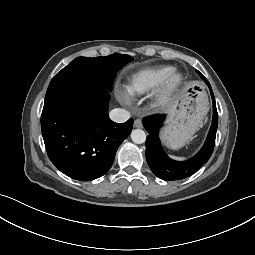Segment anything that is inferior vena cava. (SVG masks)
I'll list each match as a JSON object with an SVG mask.
<instances>
[{"mask_svg": "<svg viewBox=\"0 0 255 255\" xmlns=\"http://www.w3.org/2000/svg\"><path fill=\"white\" fill-rule=\"evenodd\" d=\"M109 116L116 123H124L130 118V113L125 109L116 108L109 113Z\"/></svg>", "mask_w": 255, "mask_h": 255, "instance_id": "inferior-vena-cava-1", "label": "inferior vena cava"}]
</instances>
